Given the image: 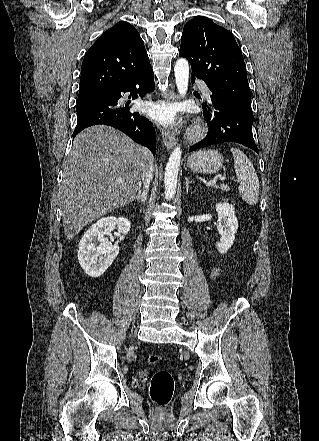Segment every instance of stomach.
Wrapping results in <instances>:
<instances>
[{
    "mask_svg": "<svg viewBox=\"0 0 319 441\" xmlns=\"http://www.w3.org/2000/svg\"><path fill=\"white\" fill-rule=\"evenodd\" d=\"M223 156L216 150L206 149L192 154L187 166L193 172L217 173L223 166Z\"/></svg>",
    "mask_w": 319,
    "mask_h": 441,
    "instance_id": "1",
    "label": "stomach"
}]
</instances>
